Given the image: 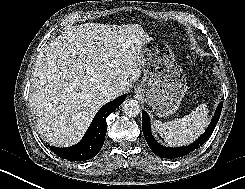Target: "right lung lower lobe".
I'll return each mask as SVG.
<instances>
[{"instance_id":"98d812e1","label":"right lung lower lobe","mask_w":245,"mask_h":189,"mask_svg":"<svg viewBox=\"0 0 245 189\" xmlns=\"http://www.w3.org/2000/svg\"><path fill=\"white\" fill-rule=\"evenodd\" d=\"M125 99L126 95H122L105 104L97 112L82 140L76 145L67 148H56L53 146H49V148L59 157L68 161H86L93 158L98 154L104 143L107 131L106 118L119 107Z\"/></svg>"}]
</instances>
